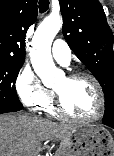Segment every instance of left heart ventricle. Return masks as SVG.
Listing matches in <instances>:
<instances>
[{
	"label": "left heart ventricle",
	"instance_id": "left-heart-ventricle-1",
	"mask_svg": "<svg viewBox=\"0 0 114 156\" xmlns=\"http://www.w3.org/2000/svg\"><path fill=\"white\" fill-rule=\"evenodd\" d=\"M55 90L62 97L65 109L77 117L93 116L98 109V96L93 83L87 78H62Z\"/></svg>",
	"mask_w": 114,
	"mask_h": 156
}]
</instances>
